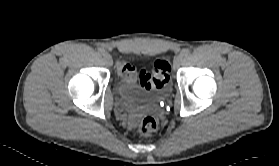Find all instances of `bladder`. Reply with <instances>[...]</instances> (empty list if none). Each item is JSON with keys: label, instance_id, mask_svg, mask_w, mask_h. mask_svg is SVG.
I'll list each match as a JSON object with an SVG mask.
<instances>
[{"label": "bladder", "instance_id": "obj_1", "mask_svg": "<svg viewBox=\"0 0 279 166\" xmlns=\"http://www.w3.org/2000/svg\"><path fill=\"white\" fill-rule=\"evenodd\" d=\"M120 91L124 98H135L137 99L138 94L140 93V90L138 89L135 81L133 78L124 79L120 84ZM142 100V99H139Z\"/></svg>", "mask_w": 279, "mask_h": 166}]
</instances>
